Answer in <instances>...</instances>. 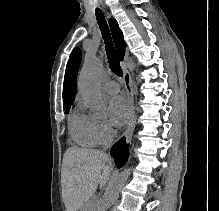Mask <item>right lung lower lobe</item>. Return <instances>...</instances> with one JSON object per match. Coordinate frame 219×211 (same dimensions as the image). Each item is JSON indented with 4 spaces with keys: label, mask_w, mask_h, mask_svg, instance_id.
Masks as SVG:
<instances>
[{
    "label": "right lung lower lobe",
    "mask_w": 219,
    "mask_h": 211,
    "mask_svg": "<svg viewBox=\"0 0 219 211\" xmlns=\"http://www.w3.org/2000/svg\"><path fill=\"white\" fill-rule=\"evenodd\" d=\"M128 147L125 138H122L111 148V156L114 157L118 168L122 167L127 161L129 156Z\"/></svg>",
    "instance_id": "obj_1"
}]
</instances>
